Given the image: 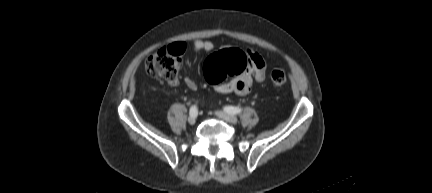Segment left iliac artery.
<instances>
[{
    "label": "left iliac artery",
    "mask_w": 432,
    "mask_h": 193,
    "mask_svg": "<svg viewBox=\"0 0 432 193\" xmlns=\"http://www.w3.org/2000/svg\"><path fill=\"white\" fill-rule=\"evenodd\" d=\"M224 111H226L229 114L236 115V114L241 113L242 109L239 107H234V106H225Z\"/></svg>",
    "instance_id": "obj_1"
}]
</instances>
